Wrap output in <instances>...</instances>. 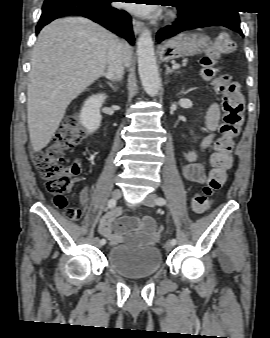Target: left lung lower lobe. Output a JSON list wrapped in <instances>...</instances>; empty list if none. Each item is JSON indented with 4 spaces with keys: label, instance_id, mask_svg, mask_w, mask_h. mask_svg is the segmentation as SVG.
<instances>
[{
    "label": "left lung lower lobe",
    "instance_id": "left-lung-lower-lobe-1",
    "mask_svg": "<svg viewBox=\"0 0 270 338\" xmlns=\"http://www.w3.org/2000/svg\"><path fill=\"white\" fill-rule=\"evenodd\" d=\"M177 21L159 30L156 36L158 42L171 38L176 34L194 29L210 26H223L243 35L240 29L239 15L236 10L227 9L221 4H209L196 11H187L179 6Z\"/></svg>",
    "mask_w": 270,
    "mask_h": 338
}]
</instances>
